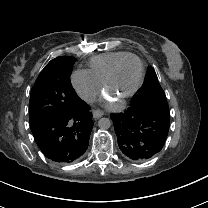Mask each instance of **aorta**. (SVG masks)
<instances>
[{"label":"aorta","mask_w":208,"mask_h":208,"mask_svg":"<svg viewBox=\"0 0 208 208\" xmlns=\"http://www.w3.org/2000/svg\"><path fill=\"white\" fill-rule=\"evenodd\" d=\"M111 126V121L108 119V118H101L99 121H98V127L100 129H109Z\"/></svg>","instance_id":"obj_1"}]
</instances>
